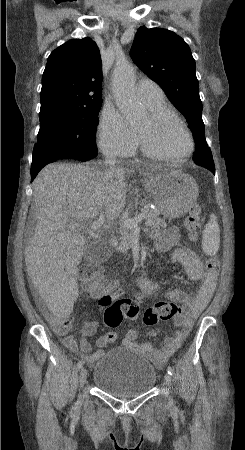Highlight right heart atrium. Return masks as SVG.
Returning a JSON list of instances; mask_svg holds the SVG:
<instances>
[{
	"label": "right heart atrium",
	"mask_w": 245,
	"mask_h": 450,
	"mask_svg": "<svg viewBox=\"0 0 245 450\" xmlns=\"http://www.w3.org/2000/svg\"><path fill=\"white\" fill-rule=\"evenodd\" d=\"M97 138L101 151L115 158L131 156L138 147L135 130L114 109H105L102 112Z\"/></svg>",
	"instance_id": "obj_1"
}]
</instances>
